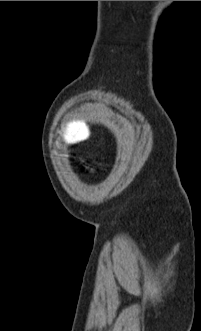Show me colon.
<instances>
[{
  "mask_svg": "<svg viewBox=\"0 0 201 331\" xmlns=\"http://www.w3.org/2000/svg\"><path fill=\"white\" fill-rule=\"evenodd\" d=\"M64 139L67 143H81L89 136L88 124L84 119L71 118L62 127Z\"/></svg>",
  "mask_w": 201,
  "mask_h": 331,
  "instance_id": "1",
  "label": "colon"
}]
</instances>
